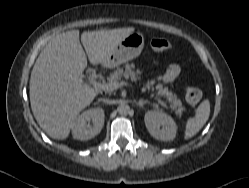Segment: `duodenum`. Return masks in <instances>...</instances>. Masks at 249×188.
Masks as SVG:
<instances>
[{
    "mask_svg": "<svg viewBox=\"0 0 249 188\" xmlns=\"http://www.w3.org/2000/svg\"><path fill=\"white\" fill-rule=\"evenodd\" d=\"M91 76H92V77H95V73H94V72H91Z\"/></svg>",
    "mask_w": 249,
    "mask_h": 188,
    "instance_id": "duodenum-1",
    "label": "duodenum"
}]
</instances>
